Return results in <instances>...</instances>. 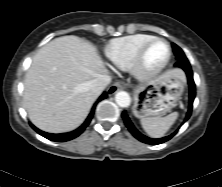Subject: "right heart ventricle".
<instances>
[{"instance_id":"e07e8e85","label":"right heart ventricle","mask_w":222,"mask_h":187,"mask_svg":"<svg viewBox=\"0 0 222 187\" xmlns=\"http://www.w3.org/2000/svg\"><path fill=\"white\" fill-rule=\"evenodd\" d=\"M153 38L151 35L135 34L112 39L105 47V55L115 68L129 70L141 47Z\"/></svg>"}]
</instances>
